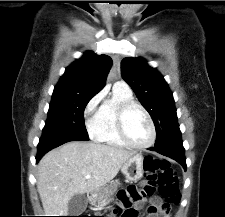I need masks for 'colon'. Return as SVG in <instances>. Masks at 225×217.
Masks as SVG:
<instances>
[{
	"label": "colon",
	"instance_id": "1",
	"mask_svg": "<svg viewBox=\"0 0 225 217\" xmlns=\"http://www.w3.org/2000/svg\"><path fill=\"white\" fill-rule=\"evenodd\" d=\"M143 168L147 184L142 191L131 186L127 191L120 194L122 206L117 205L115 212L121 217H137V212L131 207L132 200H139L144 194H151L155 187H158L160 195L166 203L160 208L162 211L169 210L171 204H178L180 201V189L175 170L165 161L153 156H146ZM149 212L157 214V208L150 207Z\"/></svg>",
	"mask_w": 225,
	"mask_h": 217
}]
</instances>
